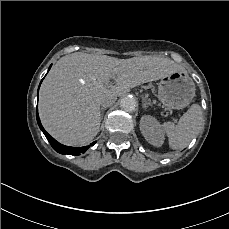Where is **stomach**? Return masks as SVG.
I'll return each instance as SVG.
<instances>
[{
    "mask_svg": "<svg viewBox=\"0 0 229 229\" xmlns=\"http://www.w3.org/2000/svg\"><path fill=\"white\" fill-rule=\"evenodd\" d=\"M195 92V84L187 72H174L157 85V98L171 109L187 107Z\"/></svg>",
    "mask_w": 229,
    "mask_h": 229,
    "instance_id": "obj_1",
    "label": "stomach"
}]
</instances>
